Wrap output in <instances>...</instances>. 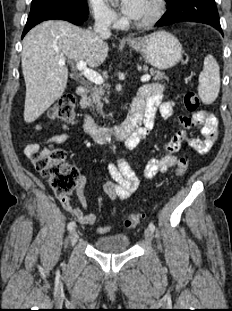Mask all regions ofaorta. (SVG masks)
I'll list each match as a JSON object with an SVG mask.
<instances>
[{"mask_svg": "<svg viewBox=\"0 0 232 311\" xmlns=\"http://www.w3.org/2000/svg\"><path fill=\"white\" fill-rule=\"evenodd\" d=\"M106 139L110 141V140H111L110 135H107V136H106Z\"/></svg>", "mask_w": 232, "mask_h": 311, "instance_id": "obj_1", "label": "aorta"}]
</instances>
